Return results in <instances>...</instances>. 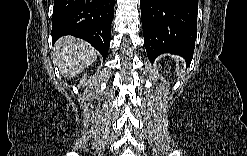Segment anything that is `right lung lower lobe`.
<instances>
[{
	"label": "right lung lower lobe",
	"instance_id": "98d812e1",
	"mask_svg": "<svg viewBox=\"0 0 247 156\" xmlns=\"http://www.w3.org/2000/svg\"><path fill=\"white\" fill-rule=\"evenodd\" d=\"M115 0H55L52 40L72 35L89 42L106 58Z\"/></svg>",
	"mask_w": 247,
	"mask_h": 156
}]
</instances>
